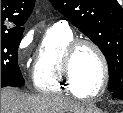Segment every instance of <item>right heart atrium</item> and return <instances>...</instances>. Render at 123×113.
Instances as JSON below:
<instances>
[{
	"label": "right heart atrium",
	"instance_id": "1",
	"mask_svg": "<svg viewBox=\"0 0 123 113\" xmlns=\"http://www.w3.org/2000/svg\"><path fill=\"white\" fill-rule=\"evenodd\" d=\"M29 45H30V38L28 36L23 38L19 42L18 48H17V57H18L19 62H21L24 59Z\"/></svg>",
	"mask_w": 123,
	"mask_h": 113
}]
</instances>
